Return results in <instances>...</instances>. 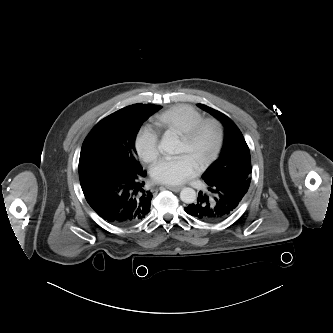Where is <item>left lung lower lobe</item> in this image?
<instances>
[{"mask_svg":"<svg viewBox=\"0 0 333 333\" xmlns=\"http://www.w3.org/2000/svg\"><path fill=\"white\" fill-rule=\"evenodd\" d=\"M207 193L199 192L197 201L185 207L186 213L206 222H218L232 214L248 191L247 181H212L202 177Z\"/></svg>","mask_w":333,"mask_h":333,"instance_id":"1","label":"left lung lower lobe"}]
</instances>
